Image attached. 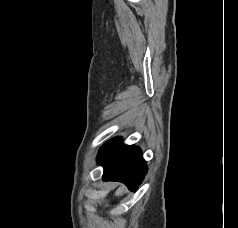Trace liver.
Instances as JSON below:
<instances>
[{
  "label": "liver",
  "instance_id": "obj_1",
  "mask_svg": "<svg viewBox=\"0 0 238 228\" xmlns=\"http://www.w3.org/2000/svg\"><path fill=\"white\" fill-rule=\"evenodd\" d=\"M123 191H124V187H123V186H120V187L117 189L115 195L118 196V195H120Z\"/></svg>",
  "mask_w": 238,
  "mask_h": 228
}]
</instances>
